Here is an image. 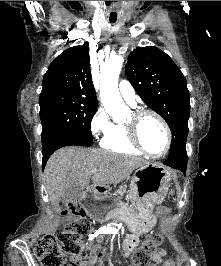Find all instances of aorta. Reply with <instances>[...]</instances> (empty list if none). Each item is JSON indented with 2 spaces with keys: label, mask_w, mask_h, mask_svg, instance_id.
Wrapping results in <instances>:
<instances>
[{
  "label": "aorta",
  "mask_w": 221,
  "mask_h": 266,
  "mask_svg": "<svg viewBox=\"0 0 221 266\" xmlns=\"http://www.w3.org/2000/svg\"><path fill=\"white\" fill-rule=\"evenodd\" d=\"M124 59L120 55H113L101 66L100 96L105 110L119 121L126 115V107L118 89V78Z\"/></svg>",
  "instance_id": "obj_1"
}]
</instances>
